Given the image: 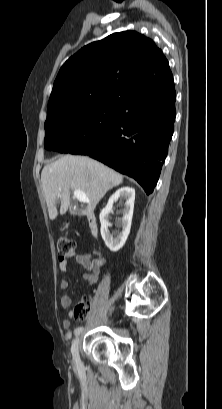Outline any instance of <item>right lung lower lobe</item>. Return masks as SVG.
<instances>
[{"mask_svg":"<svg viewBox=\"0 0 222 409\" xmlns=\"http://www.w3.org/2000/svg\"><path fill=\"white\" fill-rule=\"evenodd\" d=\"M163 78L167 91L120 103L103 145L86 154L134 178L147 194L158 181L176 117L172 73Z\"/></svg>","mask_w":222,"mask_h":409,"instance_id":"right-lung-lower-lobe-1","label":"right lung lower lobe"}]
</instances>
